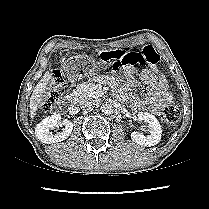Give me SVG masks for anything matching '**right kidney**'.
Masks as SVG:
<instances>
[{"label": "right kidney", "mask_w": 209, "mask_h": 209, "mask_svg": "<svg viewBox=\"0 0 209 209\" xmlns=\"http://www.w3.org/2000/svg\"><path fill=\"white\" fill-rule=\"evenodd\" d=\"M58 126H64L62 132L52 134L50 130ZM72 130L73 123L71 121L67 119L61 120L60 114L54 113L37 124L35 135L41 142L50 144L64 141L71 135Z\"/></svg>", "instance_id": "obj_1"}]
</instances>
